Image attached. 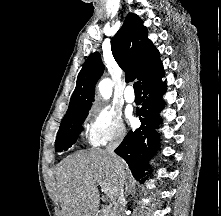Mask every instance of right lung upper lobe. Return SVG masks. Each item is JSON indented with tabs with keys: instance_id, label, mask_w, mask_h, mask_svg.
<instances>
[{
	"instance_id": "right-lung-upper-lobe-1",
	"label": "right lung upper lobe",
	"mask_w": 221,
	"mask_h": 216,
	"mask_svg": "<svg viewBox=\"0 0 221 216\" xmlns=\"http://www.w3.org/2000/svg\"><path fill=\"white\" fill-rule=\"evenodd\" d=\"M147 36L142 20L136 14L129 13L120 30L111 39L112 54L120 68L126 72V81L137 78L145 85L163 71L159 52ZM103 71L100 54L92 53L78 75L76 88L64 117L90 109L95 84Z\"/></svg>"
}]
</instances>
